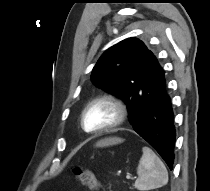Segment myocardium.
<instances>
[{"mask_svg": "<svg viewBox=\"0 0 210 191\" xmlns=\"http://www.w3.org/2000/svg\"><path fill=\"white\" fill-rule=\"evenodd\" d=\"M97 103L110 104L116 110L117 117L114 122H112L111 124L107 126H104L102 128L95 129V130H87L84 125L85 113L92 105L97 104ZM127 117H128V109H127L126 104L120 98L114 95L105 94V95L98 96L92 99L89 103H87V105L83 108L80 115V125L83 131L88 134H102V133L113 131L119 128L120 126H122L126 122Z\"/></svg>", "mask_w": 210, "mask_h": 191, "instance_id": "1", "label": "myocardium"}]
</instances>
